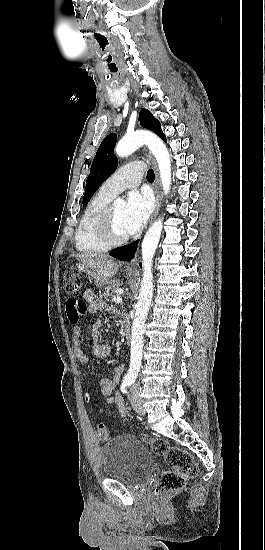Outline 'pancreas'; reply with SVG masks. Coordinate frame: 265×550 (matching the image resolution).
Returning a JSON list of instances; mask_svg holds the SVG:
<instances>
[{
  "label": "pancreas",
  "instance_id": "obj_1",
  "mask_svg": "<svg viewBox=\"0 0 265 550\" xmlns=\"http://www.w3.org/2000/svg\"><path fill=\"white\" fill-rule=\"evenodd\" d=\"M120 280H112L103 287V296L107 300H113L114 297L118 296L117 289L121 286Z\"/></svg>",
  "mask_w": 265,
  "mask_h": 550
}]
</instances>
